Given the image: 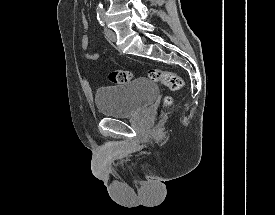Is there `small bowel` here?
<instances>
[{
	"instance_id": "1",
	"label": "small bowel",
	"mask_w": 275,
	"mask_h": 215,
	"mask_svg": "<svg viewBox=\"0 0 275 215\" xmlns=\"http://www.w3.org/2000/svg\"><path fill=\"white\" fill-rule=\"evenodd\" d=\"M82 27H83V34L81 36V47L84 51V56L88 60H98L100 57V51L99 50H93L89 51V38L86 34L87 28H88V20L85 16V14L82 15Z\"/></svg>"
}]
</instances>
